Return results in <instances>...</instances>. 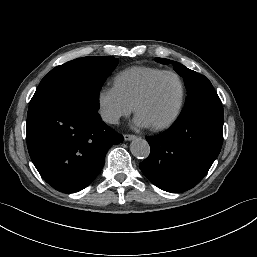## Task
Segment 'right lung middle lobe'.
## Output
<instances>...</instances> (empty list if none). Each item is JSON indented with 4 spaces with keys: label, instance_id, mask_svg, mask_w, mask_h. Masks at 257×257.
Masks as SVG:
<instances>
[{
    "label": "right lung middle lobe",
    "instance_id": "right-lung-middle-lobe-1",
    "mask_svg": "<svg viewBox=\"0 0 257 257\" xmlns=\"http://www.w3.org/2000/svg\"><path fill=\"white\" fill-rule=\"evenodd\" d=\"M117 64L111 56H88L57 66L41 80L30 103L71 97L98 110L100 88Z\"/></svg>",
    "mask_w": 257,
    "mask_h": 257
}]
</instances>
